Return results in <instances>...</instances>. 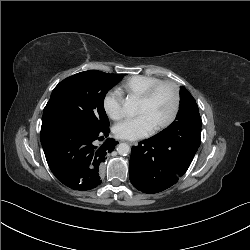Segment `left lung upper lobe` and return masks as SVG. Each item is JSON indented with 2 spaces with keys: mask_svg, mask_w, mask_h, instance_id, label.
<instances>
[{
  "mask_svg": "<svg viewBox=\"0 0 250 250\" xmlns=\"http://www.w3.org/2000/svg\"><path fill=\"white\" fill-rule=\"evenodd\" d=\"M190 120H201L198 105L196 104L195 99L191 96L190 92L184 86H182L180 90V107L176 120L168 128L160 133L167 131L171 126L177 124L179 121Z\"/></svg>",
  "mask_w": 250,
  "mask_h": 250,
  "instance_id": "obj_1",
  "label": "left lung upper lobe"
}]
</instances>
